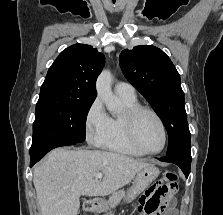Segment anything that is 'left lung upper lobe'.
<instances>
[{"label":"left lung upper lobe","instance_id":"obj_1","mask_svg":"<svg viewBox=\"0 0 223 215\" xmlns=\"http://www.w3.org/2000/svg\"><path fill=\"white\" fill-rule=\"evenodd\" d=\"M119 62L128 81L146 98L168 132V156L191 158V135L184 92L178 71L169 57L151 45L123 50Z\"/></svg>","mask_w":223,"mask_h":215}]
</instances>
